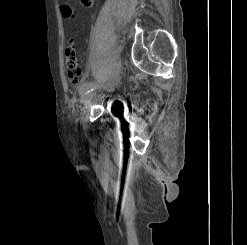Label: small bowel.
I'll return each mask as SVG.
<instances>
[{
    "label": "small bowel",
    "mask_w": 247,
    "mask_h": 245,
    "mask_svg": "<svg viewBox=\"0 0 247 245\" xmlns=\"http://www.w3.org/2000/svg\"><path fill=\"white\" fill-rule=\"evenodd\" d=\"M93 1L94 0H81V3L86 7H90L93 5ZM60 9L64 18H71L73 16L72 6L69 3L62 4Z\"/></svg>",
    "instance_id": "c3829d8e"
}]
</instances>
